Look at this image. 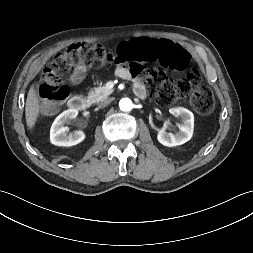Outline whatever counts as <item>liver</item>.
I'll return each instance as SVG.
<instances>
[{"instance_id": "obj_1", "label": "liver", "mask_w": 253, "mask_h": 253, "mask_svg": "<svg viewBox=\"0 0 253 253\" xmlns=\"http://www.w3.org/2000/svg\"><path fill=\"white\" fill-rule=\"evenodd\" d=\"M39 110V98L34 86H31L27 95L25 105V116L28 129L31 130L34 127L39 114Z\"/></svg>"}]
</instances>
